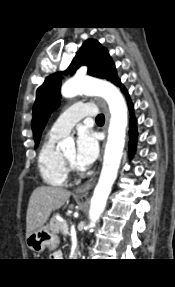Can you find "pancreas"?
Masks as SVG:
<instances>
[{"label":"pancreas","instance_id":"1","mask_svg":"<svg viewBox=\"0 0 175 287\" xmlns=\"http://www.w3.org/2000/svg\"><path fill=\"white\" fill-rule=\"evenodd\" d=\"M49 227H50L51 231L54 233L65 234L64 229H63V223L60 220H58V218H56V217L51 218L50 223H49Z\"/></svg>","mask_w":175,"mask_h":287}]
</instances>
